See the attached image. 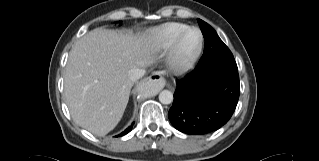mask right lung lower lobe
Segmentation results:
<instances>
[{"mask_svg":"<svg viewBox=\"0 0 319 161\" xmlns=\"http://www.w3.org/2000/svg\"><path fill=\"white\" fill-rule=\"evenodd\" d=\"M134 124V123H133ZM132 125L131 126H129L124 132H122L119 136H123V135H125V134H127V133H129L131 130H132Z\"/></svg>","mask_w":319,"mask_h":161,"instance_id":"obj_1","label":"right lung lower lobe"}]
</instances>
